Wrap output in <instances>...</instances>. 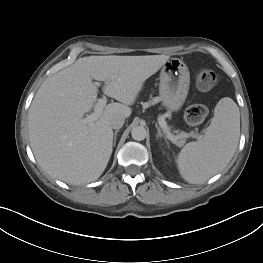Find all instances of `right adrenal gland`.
<instances>
[{
    "label": "right adrenal gland",
    "mask_w": 263,
    "mask_h": 263,
    "mask_svg": "<svg viewBox=\"0 0 263 263\" xmlns=\"http://www.w3.org/2000/svg\"><path fill=\"white\" fill-rule=\"evenodd\" d=\"M118 132H119L118 129L114 132V143H113L114 146L116 145V135Z\"/></svg>",
    "instance_id": "2a0ac1e0"
}]
</instances>
